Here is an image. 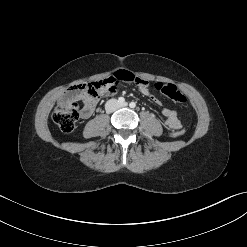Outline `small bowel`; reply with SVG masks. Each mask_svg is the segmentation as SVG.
Here are the masks:
<instances>
[{
    "instance_id": "1",
    "label": "small bowel",
    "mask_w": 247,
    "mask_h": 247,
    "mask_svg": "<svg viewBox=\"0 0 247 247\" xmlns=\"http://www.w3.org/2000/svg\"><path fill=\"white\" fill-rule=\"evenodd\" d=\"M112 77L116 78L117 80H122V81H134L137 84L138 89L140 92L145 95L146 97L155 100L158 102L157 99L153 97L151 94L149 87H148V82L140 79V78H135L134 75L128 71L125 70H119L117 71ZM116 92V87L111 88L109 90H104L101 92L102 95L105 94H114ZM77 99H81L84 101V97L81 93H77L75 96ZM95 110V104H88L84 102V106L81 111V116L82 118H89ZM162 114L166 119V125L170 129H178L181 126L180 120L178 118L177 112L175 110H172L170 108H164L162 110Z\"/></svg>"
}]
</instances>
